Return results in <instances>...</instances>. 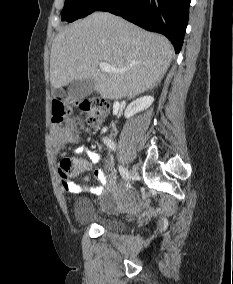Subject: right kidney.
Returning <instances> with one entry per match:
<instances>
[{
    "label": "right kidney",
    "instance_id": "ca27d5eb",
    "mask_svg": "<svg viewBox=\"0 0 233 284\" xmlns=\"http://www.w3.org/2000/svg\"><path fill=\"white\" fill-rule=\"evenodd\" d=\"M154 101V97L152 96H144V97H140L136 100H134L133 102H131L124 113L125 118H130L133 115H135L136 113L143 111L144 109H147L151 106V104ZM107 131V128H103L102 129V133H105Z\"/></svg>",
    "mask_w": 233,
    "mask_h": 284
}]
</instances>
